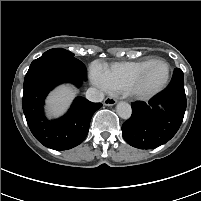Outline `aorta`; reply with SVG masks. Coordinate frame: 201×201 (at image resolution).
I'll use <instances>...</instances> for the list:
<instances>
[{"label":"aorta","instance_id":"762f6f07","mask_svg":"<svg viewBox=\"0 0 201 201\" xmlns=\"http://www.w3.org/2000/svg\"><path fill=\"white\" fill-rule=\"evenodd\" d=\"M116 112L122 119H129L132 114V109L127 102H119L116 106Z\"/></svg>","mask_w":201,"mask_h":201}]
</instances>
